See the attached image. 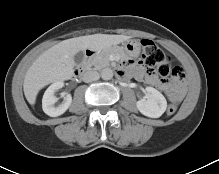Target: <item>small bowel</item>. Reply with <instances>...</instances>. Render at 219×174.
I'll use <instances>...</instances> for the list:
<instances>
[{"mask_svg": "<svg viewBox=\"0 0 219 174\" xmlns=\"http://www.w3.org/2000/svg\"><path fill=\"white\" fill-rule=\"evenodd\" d=\"M119 74H133L138 79L145 77L146 82L162 88L164 95L170 97V99L175 102L181 101L186 91V83L184 81L181 82L177 79H173L172 82L160 80L155 74L151 72L144 73L141 67L134 66L133 64L120 67Z\"/></svg>", "mask_w": 219, "mask_h": 174, "instance_id": "obj_1", "label": "small bowel"}]
</instances>
